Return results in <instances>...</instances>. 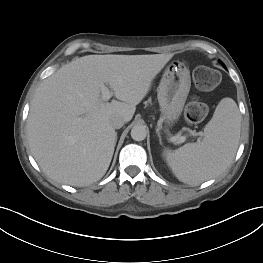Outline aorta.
I'll return each mask as SVG.
<instances>
[{
	"label": "aorta",
	"mask_w": 263,
	"mask_h": 263,
	"mask_svg": "<svg viewBox=\"0 0 263 263\" xmlns=\"http://www.w3.org/2000/svg\"><path fill=\"white\" fill-rule=\"evenodd\" d=\"M131 137L135 141H142L147 136V130L143 125H135L131 129Z\"/></svg>",
	"instance_id": "aorta-1"
}]
</instances>
